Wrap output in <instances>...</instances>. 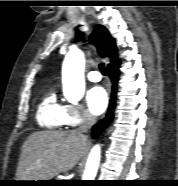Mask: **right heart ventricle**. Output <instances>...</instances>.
Segmentation results:
<instances>
[{
	"label": "right heart ventricle",
	"mask_w": 178,
	"mask_h": 186,
	"mask_svg": "<svg viewBox=\"0 0 178 186\" xmlns=\"http://www.w3.org/2000/svg\"><path fill=\"white\" fill-rule=\"evenodd\" d=\"M36 120L46 130H61L68 121V106L62 104L54 92L46 95L37 107Z\"/></svg>",
	"instance_id": "e07e8e85"
}]
</instances>
